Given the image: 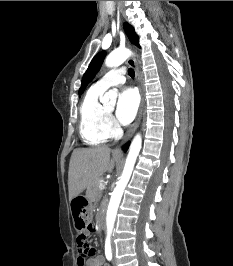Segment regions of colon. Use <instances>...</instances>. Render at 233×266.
Masks as SVG:
<instances>
[{
  "instance_id": "obj_1",
  "label": "colon",
  "mask_w": 233,
  "mask_h": 266,
  "mask_svg": "<svg viewBox=\"0 0 233 266\" xmlns=\"http://www.w3.org/2000/svg\"><path fill=\"white\" fill-rule=\"evenodd\" d=\"M94 231L95 226L89 225V228H87V232H81L77 236V245L79 251L78 259L81 265L85 262L87 258L93 256L95 253V249L87 242V234Z\"/></svg>"
}]
</instances>
